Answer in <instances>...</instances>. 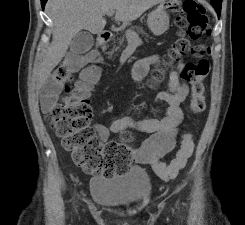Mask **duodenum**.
I'll use <instances>...</instances> for the list:
<instances>
[{
  "instance_id": "1",
  "label": "duodenum",
  "mask_w": 245,
  "mask_h": 225,
  "mask_svg": "<svg viewBox=\"0 0 245 225\" xmlns=\"http://www.w3.org/2000/svg\"><path fill=\"white\" fill-rule=\"evenodd\" d=\"M98 45L104 46L111 40V33L109 31H102L97 35Z\"/></svg>"
}]
</instances>
